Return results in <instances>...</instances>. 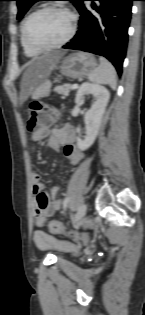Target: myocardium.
I'll return each mask as SVG.
<instances>
[{
	"instance_id": "obj_1",
	"label": "myocardium",
	"mask_w": 145,
	"mask_h": 315,
	"mask_svg": "<svg viewBox=\"0 0 145 315\" xmlns=\"http://www.w3.org/2000/svg\"><path fill=\"white\" fill-rule=\"evenodd\" d=\"M46 11H56V12H59V13L66 15L69 19V30H68L66 36L64 38H62L60 41L55 42L53 44H49V45H41V44H37V43L30 40L29 35H28V29H29V25H30L31 21L33 20V18L36 17L37 15H39L40 13H43ZM76 23H77L76 16L70 10L56 6V5L49 4V5L43 6L39 9L35 10L26 18L24 25H23V37H24L26 44L35 50H38L41 52L53 50V49H56V48H59V47L65 45L66 43H68L72 39V37L74 36L75 31H76Z\"/></svg>"
}]
</instances>
